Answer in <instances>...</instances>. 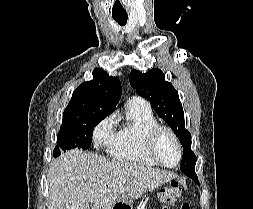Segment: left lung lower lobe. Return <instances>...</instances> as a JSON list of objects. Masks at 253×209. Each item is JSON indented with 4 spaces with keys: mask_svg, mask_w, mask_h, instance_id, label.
<instances>
[{
    "mask_svg": "<svg viewBox=\"0 0 253 209\" xmlns=\"http://www.w3.org/2000/svg\"><path fill=\"white\" fill-rule=\"evenodd\" d=\"M191 179H192L193 181H195L196 184L199 185V181H198V178H197V175H196V174H194L193 176H191Z\"/></svg>",
    "mask_w": 253,
    "mask_h": 209,
    "instance_id": "left-lung-lower-lobe-1",
    "label": "left lung lower lobe"
}]
</instances>
